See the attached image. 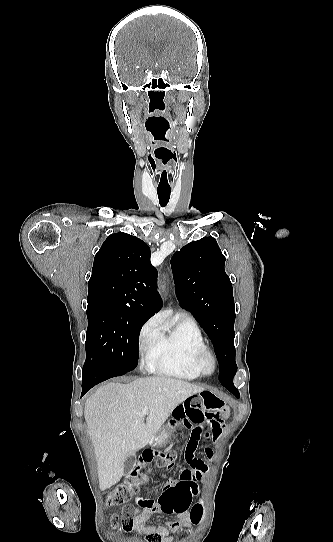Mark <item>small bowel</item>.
<instances>
[{
  "instance_id": "small-bowel-1",
  "label": "small bowel",
  "mask_w": 333,
  "mask_h": 542,
  "mask_svg": "<svg viewBox=\"0 0 333 542\" xmlns=\"http://www.w3.org/2000/svg\"><path fill=\"white\" fill-rule=\"evenodd\" d=\"M174 417L171 419L168 430L173 432L178 424L189 429V434L184 443L185 458L190 463L195 471L184 470L178 480L169 479L162 487L159 494H155L152 498L136 497L137 507L133 508L130 513L134 517V522L137 529L145 534L156 535L159 542H173L172 533L183 531L189 526L188 523L177 521L179 519L186 520L189 511L184 509L182 515L175 514L174 521H167L161 525H147V521L156 514L166 513L160 507L159 501L161 497H185L188 494L187 490L177 489V483L182 479L188 483H192L200 476V471L205 468L204 464L195 458V453L202 443L206 454L211 457L213 448L210 442H215L219 439L222 433V423L224 422L225 413L223 409H211L210 413L199 407L197 400H184L182 405L175 406L173 409ZM139 466L149 463L155 452L153 449L145 447L143 449ZM136 477L134 474L131 476ZM202 512L199 507H195L191 512V522L197 524L201 520Z\"/></svg>"
}]
</instances>
